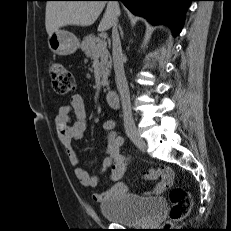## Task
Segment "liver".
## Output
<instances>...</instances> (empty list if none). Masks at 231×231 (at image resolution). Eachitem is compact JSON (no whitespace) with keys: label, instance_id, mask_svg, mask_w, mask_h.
Segmentation results:
<instances>
[{"label":"liver","instance_id":"liver-1","mask_svg":"<svg viewBox=\"0 0 231 231\" xmlns=\"http://www.w3.org/2000/svg\"><path fill=\"white\" fill-rule=\"evenodd\" d=\"M106 5L105 1H48L46 4L45 26L48 35L60 27L68 25H92ZM119 6L107 4L106 11L98 26V31L110 29L117 22Z\"/></svg>","mask_w":231,"mask_h":231}]
</instances>
